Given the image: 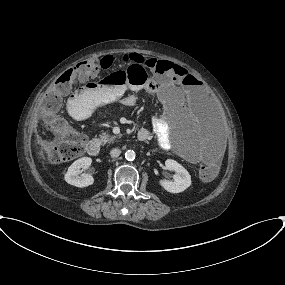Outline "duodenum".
Masks as SVG:
<instances>
[{
	"instance_id": "obj_1",
	"label": "duodenum",
	"mask_w": 285,
	"mask_h": 285,
	"mask_svg": "<svg viewBox=\"0 0 285 285\" xmlns=\"http://www.w3.org/2000/svg\"><path fill=\"white\" fill-rule=\"evenodd\" d=\"M146 137V132L138 133V140L144 141ZM87 152L92 156L97 155L100 152V142L98 140H91L87 145Z\"/></svg>"
}]
</instances>
